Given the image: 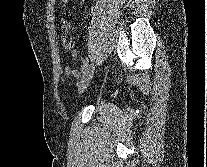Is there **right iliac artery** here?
<instances>
[{
  "label": "right iliac artery",
  "mask_w": 207,
  "mask_h": 167,
  "mask_svg": "<svg viewBox=\"0 0 207 167\" xmlns=\"http://www.w3.org/2000/svg\"><path fill=\"white\" fill-rule=\"evenodd\" d=\"M88 63H89V59L87 58L84 62H83V65H82V69H81V72L84 73L86 68L88 67Z\"/></svg>",
  "instance_id": "82829eb1"
}]
</instances>
